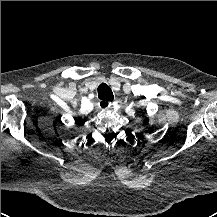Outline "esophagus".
I'll use <instances>...</instances> for the list:
<instances>
[{"instance_id": "1", "label": "esophagus", "mask_w": 217, "mask_h": 217, "mask_svg": "<svg viewBox=\"0 0 217 217\" xmlns=\"http://www.w3.org/2000/svg\"><path fill=\"white\" fill-rule=\"evenodd\" d=\"M99 103H100V104H103V105H106V104H107L106 101H100Z\"/></svg>"}]
</instances>
